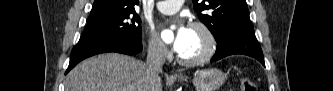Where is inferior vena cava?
Here are the masks:
<instances>
[{
  "instance_id": "inferior-vena-cava-1",
  "label": "inferior vena cava",
  "mask_w": 333,
  "mask_h": 91,
  "mask_svg": "<svg viewBox=\"0 0 333 91\" xmlns=\"http://www.w3.org/2000/svg\"><path fill=\"white\" fill-rule=\"evenodd\" d=\"M166 59V49L162 42L153 43L148 48L146 73L151 80L159 78V73L162 72V67Z\"/></svg>"
}]
</instances>
